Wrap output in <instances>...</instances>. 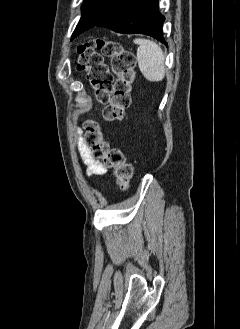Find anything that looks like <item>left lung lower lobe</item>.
Returning a JSON list of instances; mask_svg holds the SVG:
<instances>
[{
    "instance_id": "0a47b994",
    "label": "left lung lower lobe",
    "mask_w": 240,
    "mask_h": 329,
    "mask_svg": "<svg viewBox=\"0 0 240 329\" xmlns=\"http://www.w3.org/2000/svg\"><path fill=\"white\" fill-rule=\"evenodd\" d=\"M164 20L158 11V0H121L94 26L125 34L149 35L167 45L162 34Z\"/></svg>"
}]
</instances>
